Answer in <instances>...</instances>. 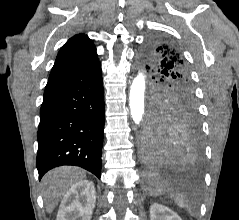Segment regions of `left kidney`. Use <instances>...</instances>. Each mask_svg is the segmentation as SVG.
Masks as SVG:
<instances>
[{"instance_id": "left-kidney-1", "label": "left kidney", "mask_w": 239, "mask_h": 220, "mask_svg": "<svg viewBox=\"0 0 239 220\" xmlns=\"http://www.w3.org/2000/svg\"><path fill=\"white\" fill-rule=\"evenodd\" d=\"M150 220H182L168 207L153 203L150 206Z\"/></svg>"}]
</instances>
